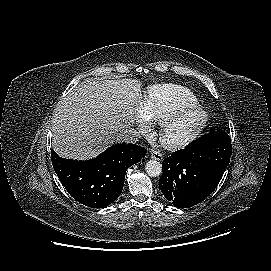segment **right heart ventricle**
Returning <instances> with one entry per match:
<instances>
[{
	"instance_id": "e07e8e85",
	"label": "right heart ventricle",
	"mask_w": 271,
	"mask_h": 271,
	"mask_svg": "<svg viewBox=\"0 0 271 271\" xmlns=\"http://www.w3.org/2000/svg\"><path fill=\"white\" fill-rule=\"evenodd\" d=\"M199 98L188 88L176 84L151 86L142 105L144 118L159 123L168 114L199 104Z\"/></svg>"
}]
</instances>
